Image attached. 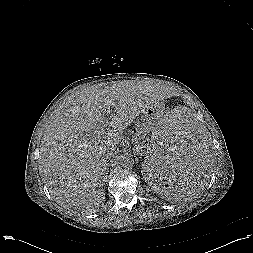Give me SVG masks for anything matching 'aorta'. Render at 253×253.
<instances>
[{"mask_svg":"<svg viewBox=\"0 0 253 253\" xmlns=\"http://www.w3.org/2000/svg\"><path fill=\"white\" fill-rule=\"evenodd\" d=\"M118 162L123 168H131L134 165V157L126 152L118 156Z\"/></svg>","mask_w":253,"mask_h":253,"instance_id":"aorta-1","label":"aorta"}]
</instances>
